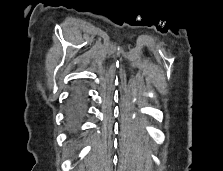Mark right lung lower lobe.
I'll use <instances>...</instances> for the list:
<instances>
[{
  "instance_id": "right-lung-lower-lobe-1",
  "label": "right lung lower lobe",
  "mask_w": 223,
  "mask_h": 171,
  "mask_svg": "<svg viewBox=\"0 0 223 171\" xmlns=\"http://www.w3.org/2000/svg\"><path fill=\"white\" fill-rule=\"evenodd\" d=\"M82 114V108L79 104H74L71 110V120L75 123L77 122Z\"/></svg>"
}]
</instances>
